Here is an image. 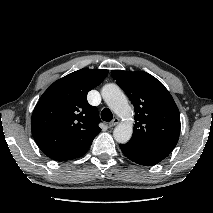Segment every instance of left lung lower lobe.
I'll return each instance as SVG.
<instances>
[{"label":"left lung lower lobe","instance_id":"1","mask_svg":"<svg viewBox=\"0 0 213 213\" xmlns=\"http://www.w3.org/2000/svg\"><path fill=\"white\" fill-rule=\"evenodd\" d=\"M120 148L127 158L140 165H155L164 159L162 156L143 152L128 143L120 144Z\"/></svg>","mask_w":213,"mask_h":213}]
</instances>
